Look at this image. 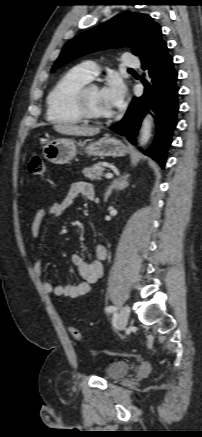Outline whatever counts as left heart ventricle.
Wrapping results in <instances>:
<instances>
[{
  "label": "left heart ventricle",
  "instance_id": "obj_1",
  "mask_svg": "<svg viewBox=\"0 0 202 437\" xmlns=\"http://www.w3.org/2000/svg\"><path fill=\"white\" fill-rule=\"evenodd\" d=\"M87 102L90 111L97 116L105 117L113 113L100 88H92L89 91Z\"/></svg>",
  "mask_w": 202,
  "mask_h": 437
}]
</instances>
